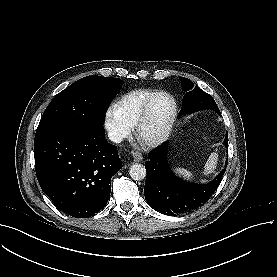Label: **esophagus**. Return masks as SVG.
<instances>
[{
    "instance_id": "1",
    "label": "esophagus",
    "mask_w": 277,
    "mask_h": 277,
    "mask_svg": "<svg viewBox=\"0 0 277 277\" xmlns=\"http://www.w3.org/2000/svg\"><path fill=\"white\" fill-rule=\"evenodd\" d=\"M132 156L135 162H140L143 159L142 155L137 151H133Z\"/></svg>"
}]
</instances>
